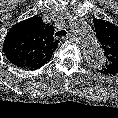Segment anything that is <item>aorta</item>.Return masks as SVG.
Here are the masks:
<instances>
[{"label": "aorta", "mask_w": 118, "mask_h": 118, "mask_svg": "<svg viewBox=\"0 0 118 118\" xmlns=\"http://www.w3.org/2000/svg\"><path fill=\"white\" fill-rule=\"evenodd\" d=\"M71 29L84 48V55L89 65L93 68L104 66L106 62L104 51L88 23L81 19H75L71 23Z\"/></svg>", "instance_id": "1"}]
</instances>
